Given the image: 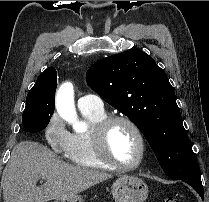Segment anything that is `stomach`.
<instances>
[{"label": "stomach", "instance_id": "0dacf381", "mask_svg": "<svg viewBox=\"0 0 209 202\" xmlns=\"http://www.w3.org/2000/svg\"><path fill=\"white\" fill-rule=\"evenodd\" d=\"M146 183L134 176L123 175L112 185V195L115 202H144L148 197ZM55 202H83L80 195L60 197Z\"/></svg>", "mask_w": 209, "mask_h": 202}]
</instances>
